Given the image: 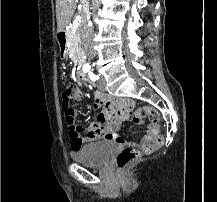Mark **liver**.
<instances>
[{
    "label": "liver",
    "instance_id": "1",
    "mask_svg": "<svg viewBox=\"0 0 217 202\" xmlns=\"http://www.w3.org/2000/svg\"><path fill=\"white\" fill-rule=\"evenodd\" d=\"M75 10V0H56L57 32H63L70 24Z\"/></svg>",
    "mask_w": 217,
    "mask_h": 202
}]
</instances>
